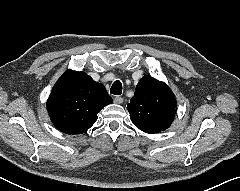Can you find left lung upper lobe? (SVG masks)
<instances>
[{
    "instance_id": "1",
    "label": "left lung upper lobe",
    "mask_w": 240,
    "mask_h": 191,
    "mask_svg": "<svg viewBox=\"0 0 240 191\" xmlns=\"http://www.w3.org/2000/svg\"><path fill=\"white\" fill-rule=\"evenodd\" d=\"M176 107V98L171 89L148 75L140 79L127 105L131 121L146 133H158L169 128Z\"/></svg>"
}]
</instances>
